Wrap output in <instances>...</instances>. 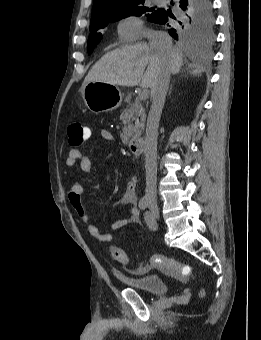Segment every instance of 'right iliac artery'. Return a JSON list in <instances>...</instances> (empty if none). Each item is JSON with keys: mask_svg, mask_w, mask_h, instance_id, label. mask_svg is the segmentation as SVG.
<instances>
[{"mask_svg": "<svg viewBox=\"0 0 261 340\" xmlns=\"http://www.w3.org/2000/svg\"><path fill=\"white\" fill-rule=\"evenodd\" d=\"M147 205H148V199L144 196L139 201V208L141 210H145L147 208Z\"/></svg>", "mask_w": 261, "mask_h": 340, "instance_id": "right-iliac-artery-1", "label": "right iliac artery"}]
</instances>
